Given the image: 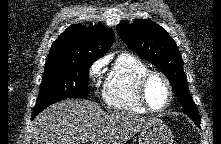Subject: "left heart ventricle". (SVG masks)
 Returning <instances> with one entry per match:
<instances>
[{"label":"left heart ventricle","mask_w":221,"mask_h":144,"mask_svg":"<svg viewBox=\"0 0 221 144\" xmlns=\"http://www.w3.org/2000/svg\"><path fill=\"white\" fill-rule=\"evenodd\" d=\"M146 95L149 104L153 108L159 109L162 108L168 100V89L160 77L153 76L147 83Z\"/></svg>","instance_id":"1"}]
</instances>
